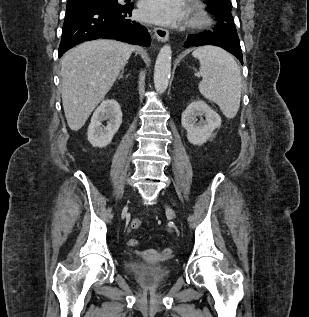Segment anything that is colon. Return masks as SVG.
Returning a JSON list of instances; mask_svg holds the SVG:
<instances>
[{"instance_id": "colon-1", "label": "colon", "mask_w": 309, "mask_h": 317, "mask_svg": "<svg viewBox=\"0 0 309 317\" xmlns=\"http://www.w3.org/2000/svg\"><path fill=\"white\" fill-rule=\"evenodd\" d=\"M141 224H142V222H141V220L138 219V218H135V219H133V220L131 221V227H132V229H138V228H140ZM128 245L131 246V247H135V246L138 245V240H137V239H130V240L128 241ZM165 253H168V251H166Z\"/></svg>"}]
</instances>
